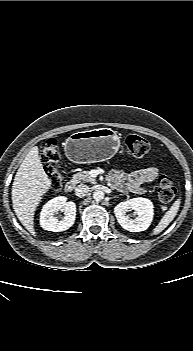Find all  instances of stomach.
Instances as JSON below:
<instances>
[{"mask_svg":"<svg viewBox=\"0 0 193 351\" xmlns=\"http://www.w3.org/2000/svg\"><path fill=\"white\" fill-rule=\"evenodd\" d=\"M120 147V139L111 128L76 132L65 141L67 158L77 164L105 161L113 157Z\"/></svg>","mask_w":193,"mask_h":351,"instance_id":"1","label":"stomach"}]
</instances>
